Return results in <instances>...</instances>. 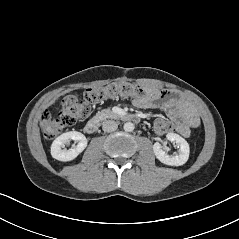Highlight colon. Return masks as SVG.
I'll return each instance as SVG.
<instances>
[{
    "label": "colon",
    "mask_w": 239,
    "mask_h": 239,
    "mask_svg": "<svg viewBox=\"0 0 239 239\" xmlns=\"http://www.w3.org/2000/svg\"><path fill=\"white\" fill-rule=\"evenodd\" d=\"M147 90L130 82L111 83L103 87L87 89L83 99L76 94H70L62 101L57 118H52L48 112L41 116L42 129L47 139H53L68 127L76 124L90 112L91 105L103 100L123 97H145ZM152 131L158 136H166L171 132L170 123L164 118H157L152 124Z\"/></svg>",
    "instance_id": "obj_1"
}]
</instances>
